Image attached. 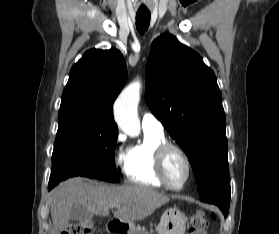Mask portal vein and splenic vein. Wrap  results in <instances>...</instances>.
Masks as SVG:
<instances>
[{
  "mask_svg": "<svg viewBox=\"0 0 279 234\" xmlns=\"http://www.w3.org/2000/svg\"><path fill=\"white\" fill-rule=\"evenodd\" d=\"M112 206H113V207H117V205H116V204H113Z\"/></svg>",
  "mask_w": 279,
  "mask_h": 234,
  "instance_id": "18ae733b",
  "label": "portal vein and splenic vein"
}]
</instances>
